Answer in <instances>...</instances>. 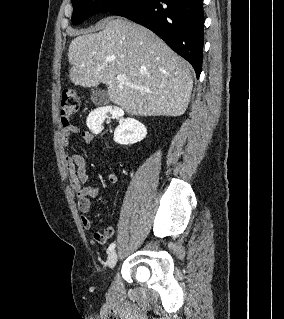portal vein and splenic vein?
Returning a JSON list of instances; mask_svg holds the SVG:
<instances>
[{"instance_id":"18ae733b","label":"portal vein and splenic vein","mask_w":284,"mask_h":319,"mask_svg":"<svg viewBox=\"0 0 284 319\" xmlns=\"http://www.w3.org/2000/svg\"><path fill=\"white\" fill-rule=\"evenodd\" d=\"M125 80H126L125 75H118V76H117V81H118L119 83H121V84L126 83V85H128L129 87L141 89L140 86L135 85V84H132V83H128V82H126Z\"/></svg>"}]
</instances>
